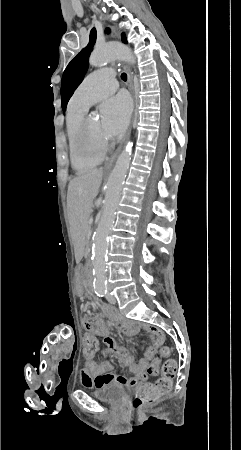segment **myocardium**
<instances>
[{"label":"myocardium","mask_w":241,"mask_h":450,"mask_svg":"<svg viewBox=\"0 0 241 450\" xmlns=\"http://www.w3.org/2000/svg\"><path fill=\"white\" fill-rule=\"evenodd\" d=\"M88 120V117H84L81 119L74 128V133L76 136H74L73 141L76 143L75 153H80L81 157H91V158H100V148H91L89 152H84L82 150V145L84 143H88L89 141L86 139V135L89 133V130L85 128L86 122ZM98 133V132H97ZM100 139L98 138L97 142ZM101 147V146H100ZM83 160V159H80ZM92 160V159H90Z\"/></svg>","instance_id":"obj_1"}]
</instances>
